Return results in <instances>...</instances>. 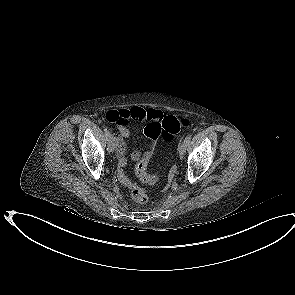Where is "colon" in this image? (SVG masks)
<instances>
[{
    "mask_svg": "<svg viewBox=\"0 0 295 295\" xmlns=\"http://www.w3.org/2000/svg\"><path fill=\"white\" fill-rule=\"evenodd\" d=\"M190 122L184 117L166 116L161 121L151 122L144 128V135L150 139V144L147 146L144 156L135 166L137 177L144 183H154L157 181V175H150L147 172L149 158L154 153L158 146V137L165 141L171 140L182 129L189 127ZM131 198L137 204H145L148 201L146 191L137 184L131 186Z\"/></svg>",
    "mask_w": 295,
    "mask_h": 295,
    "instance_id": "colon-1",
    "label": "colon"
}]
</instances>
